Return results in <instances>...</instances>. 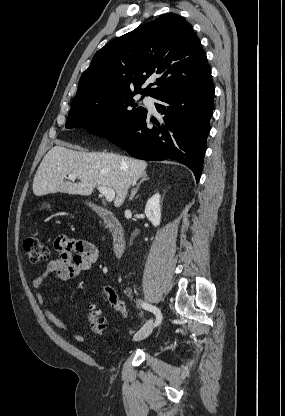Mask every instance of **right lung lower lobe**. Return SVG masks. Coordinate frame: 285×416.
Segmentation results:
<instances>
[{
	"instance_id": "1",
	"label": "right lung lower lobe",
	"mask_w": 285,
	"mask_h": 416,
	"mask_svg": "<svg viewBox=\"0 0 285 416\" xmlns=\"http://www.w3.org/2000/svg\"><path fill=\"white\" fill-rule=\"evenodd\" d=\"M212 76L161 97L156 104L164 123L148 128L144 116L127 130L107 138L130 155L144 160L173 159L188 166L199 181L210 118L213 112Z\"/></svg>"
}]
</instances>
